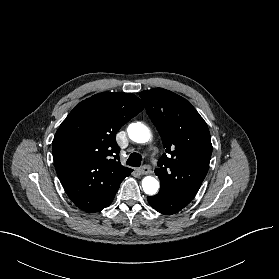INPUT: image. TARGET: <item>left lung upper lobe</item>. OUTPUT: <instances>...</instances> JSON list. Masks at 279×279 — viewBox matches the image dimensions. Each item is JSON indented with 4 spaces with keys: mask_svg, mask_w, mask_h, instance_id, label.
I'll use <instances>...</instances> for the list:
<instances>
[{
    "mask_svg": "<svg viewBox=\"0 0 279 279\" xmlns=\"http://www.w3.org/2000/svg\"><path fill=\"white\" fill-rule=\"evenodd\" d=\"M140 97L166 152L155 170L160 190L194 197L208 172L212 154L206 122L186 99L169 90H146Z\"/></svg>",
    "mask_w": 279,
    "mask_h": 279,
    "instance_id": "5c2ea615",
    "label": "left lung upper lobe"
}]
</instances>
